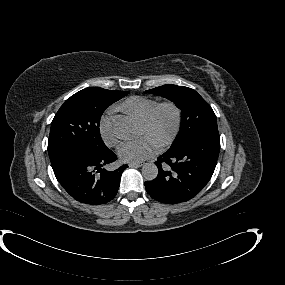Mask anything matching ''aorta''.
<instances>
[{"label":"aorta","instance_id":"1","mask_svg":"<svg viewBox=\"0 0 285 285\" xmlns=\"http://www.w3.org/2000/svg\"><path fill=\"white\" fill-rule=\"evenodd\" d=\"M116 133L118 137H123L125 133V126L122 124L117 125ZM142 174L146 180H153L158 174V168L153 163H145L142 167Z\"/></svg>","mask_w":285,"mask_h":285}]
</instances>
